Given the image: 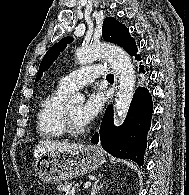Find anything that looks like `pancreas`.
I'll list each match as a JSON object with an SVG mask.
<instances>
[{"label":"pancreas","mask_w":189,"mask_h":195,"mask_svg":"<svg viewBox=\"0 0 189 195\" xmlns=\"http://www.w3.org/2000/svg\"><path fill=\"white\" fill-rule=\"evenodd\" d=\"M58 190L60 192H66V195L68 194H72L78 190V184L70 183V182H66V183H62L58 186Z\"/></svg>","instance_id":"pancreas-1"}]
</instances>
